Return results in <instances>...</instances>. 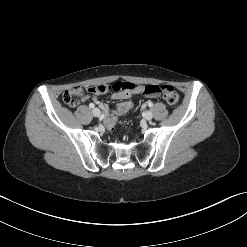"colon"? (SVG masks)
Here are the masks:
<instances>
[{
  "label": "colon",
  "instance_id": "5ec220e1",
  "mask_svg": "<svg viewBox=\"0 0 247 247\" xmlns=\"http://www.w3.org/2000/svg\"><path fill=\"white\" fill-rule=\"evenodd\" d=\"M125 88L130 90L136 89L139 93H143L149 99L159 100L161 97L172 107H175L179 102V95L175 88L171 85H162L160 88L154 84H136L133 81L128 82H116L112 85L103 84L95 85L88 88V91L93 94H104L111 90L119 91ZM83 89L80 86L73 87L68 89L63 94V101L74 107L78 103V98L82 95ZM134 102L131 99H127L125 102L119 103L115 106L114 113L110 114L105 121V126L108 130L114 129L116 125V116H124L126 111L133 109Z\"/></svg>",
  "mask_w": 247,
  "mask_h": 247
}]
</instances>
